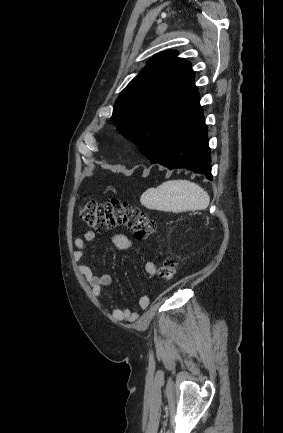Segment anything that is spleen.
Segmentation results:
<instances>
[{
	"label": "spleen",
	"instance_id": "spleen-1",
	"mask_svg": "<svg viewBox=\"0 0 283 433\" xmlns=\"http://www.w3.org/2000/svg\"><path fill=\"white\" fill-rule=\"evenodd\" d=\"M141 204L154 210H203L210 202L204 188L190 180H166L157 188H148L140 198Z\"/></svg>",
	"mask_w": 283,
	"mask_h": 433
}]
</instances>
